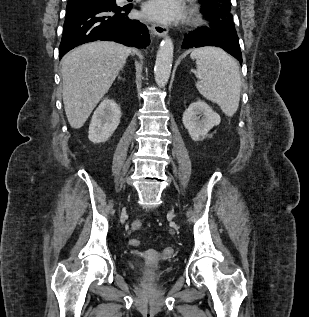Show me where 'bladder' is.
Here are the masks:
<instances>
[{
    "mask_svg": "<svg viewBox=\"0 0 309 317\" xmlns=\"http://www.w3.org/2000/svg\"><path fill=\"white\" fill-rule=\"evenodd\" d=\"M131 269L139 276V279L145 284L155 283L163 273H159L142 264H133Z\"/></svg>",
    "mask_w": 309,
    "mask_h": 317,
    "instance_id": "obj_1",
    "label": "bladder"
}]
</instances>
